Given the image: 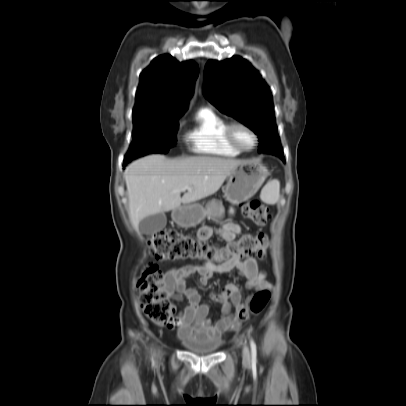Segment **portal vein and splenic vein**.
<instances>
[{"instance_id": "obj_1", "label": "portal vein and splenic vein", "mask_w": 406, "mask_h": 406, "mask_svg": "<svg viewBox=\"0 0 406 406\" xmlns=\"http://www.w3.org/2000/svg\"><path fill=\"white\" fill-rule=\"evenodd\" d=\"M185 190H190V187H189V186H185V187L182 189V191H185Z\"/></svg>"}]
</instances>
